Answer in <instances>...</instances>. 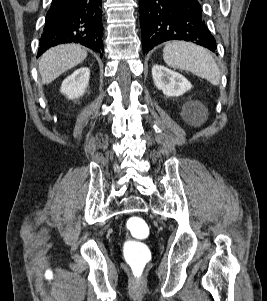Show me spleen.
<instances>
[{
    "instance_id": "3e777b00",
    "label": "spleen",
    "mask_w": 267,
    "mask_h": 301,
    "mask_svg": "<svg viewBox=\"0 0 267 301\" xmlns=\"http://www.w3.org/2000/svg\"><path fill=\"white\" fill-rule=\"evenodd\" d=\"M163 59L168 66L190 71L212 85L217 86L220 82L218 65L203 47L185 41H172L165 45Z\"/></svg>"
}]
</instances>
